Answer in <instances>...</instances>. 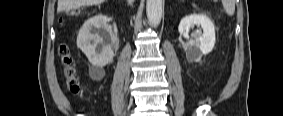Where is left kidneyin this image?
I'll return each mask as SVG.
<instances>
[{
    "instance_id": "left-kidney-1",
    "label": "left kidney",
    "mask_w": 283,
    "mask_h": 116,
    "mask_svg": "<svg viewBox=\"0 0 283 116\" xmlns=\"http://www.w3.org/2000/svg\"><path fill=\"white\" fill-rule=\"evenodd\" d=\"M194 25L201 26L203 35L190 39L186 49V58L192 61H200L203 55L212 51L215 45V27L213 22L204 14H191L184 17L179 24L178 31L186 39H189V30Z\"/></svg>"
}]
</instances>
